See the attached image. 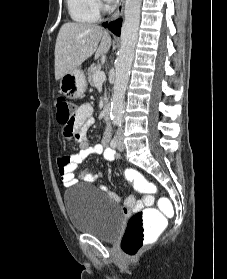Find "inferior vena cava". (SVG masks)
Instances as JSON below:
<instances>
[{"label":"inferior vena cava","instance_id":"1","mask_svg":"<svg viewBox=\"0 0 227 279\" xmlns=\"http://www.w3.org/2000/svg\"><path fill=\"white\" fill-rule=\"evenodd\" d=\"M120 133H121V129H118L117 134H120Z\"/></svg>","mask_w":227,"mask_h":279}]
</instances>
